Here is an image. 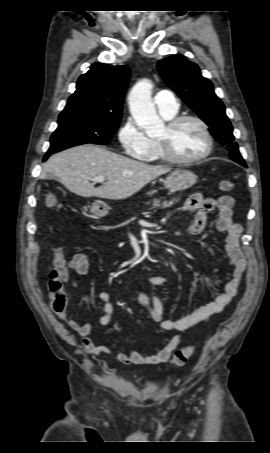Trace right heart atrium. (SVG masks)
<instances>
[{
  "label": "right heart atrium",
  "mask_w": 270,
  "mask_h": 453,
  "mask_svg": "<svg viewBox=\"0 0 270 453\" xmlns=\"http://www.w3.org/2000/svg\"><path fill=\"white\" fill-rule=\"evenodd\" d=\"M118 139L124 153L134 158L142 157L150 146V139L132 117L126 118L120 127Z\"/></svg>",
  "instance_id": "obj_1"
}]
</instances>
